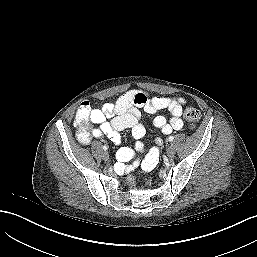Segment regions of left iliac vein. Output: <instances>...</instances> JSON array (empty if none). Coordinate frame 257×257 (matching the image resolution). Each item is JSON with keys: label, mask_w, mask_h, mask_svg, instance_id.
I'll use <instances>...</instances> for the list:
<instances>
[{"label": "left iliac vein", "mask_w": 257, "mask_h": 257, "mask_svg": "<svg viewBox=\"0 0 257 257\" xmlns=\"http://www.w3.org/2000/svg\"><path fill=\"white\" fill-rule=\"evenodd\" d=\"M166 155H167L169 158H172V157L175 155V150H174L173 146H169V147L167 148Z\"/></svg>", "instance_id": "left-iliac-vein-1"}]
</instances>
